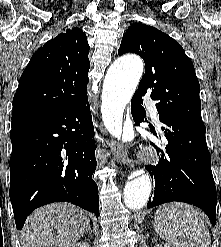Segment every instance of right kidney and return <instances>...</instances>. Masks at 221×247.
I'll list each match as a JSON object with an SVG mask.
<instances>
[{
  "label": "right kidney",
  "mask_w": 221,
  "mask_h": 247,
  "mask_svg": "<svg viewBox=\"0 0 221 247\" xmlns=\"http://www.w3.org/2000/svg\"><path fill=\"white\" fill-rule=\"evenodd\" d=\"M73 247H90V245L86 242H78L77 244L73 245Z\"/></svg>",
  "instance_id": "obj_1"
}]
</instances>
